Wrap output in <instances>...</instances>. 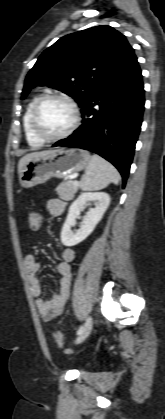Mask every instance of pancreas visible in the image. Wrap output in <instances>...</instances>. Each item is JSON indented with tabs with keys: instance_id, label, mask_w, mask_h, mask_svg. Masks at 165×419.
Masks as SVG:
<instances>
[{
	"instance_id": "cf45deb5",
	"label": "pancreas",
	"mask_w": 165,
	"mask_h": 419,
	"mask_svg": "<svg viewBox=\"0 0 165 419\" xmlns=\"http://www.w3.org/2000/svg\"><path fill=\"white\" fill-rule=\"evenodd\" d=\"M55 191L61 199L70 201L78 191V186H74L72 180H67L59 184Z\"/></svg>"
}]
</instances>
